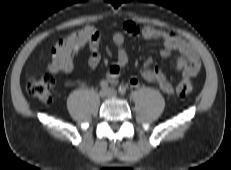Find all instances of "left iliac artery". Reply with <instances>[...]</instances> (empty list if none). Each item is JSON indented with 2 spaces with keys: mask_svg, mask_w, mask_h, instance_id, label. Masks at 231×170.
Here are the masks:
<instances>
[{
  "mask_svg": "<svg viewBox=\"0 0 231 170\" xmlns=\"http://www.w3.org/2000/svg\"><path fill=\"white\" fill-rule=\"evenodd\" d=\"M118 91L120 94L124 95L126 93V87L123 85H120L118 88Z\"/></svg>",
  "mask_w": 231,
  "mask_h": 170,
  "instance_id": "left-iliac-artery-1",
  "label": "left iliac artery"
}]
</instances>
